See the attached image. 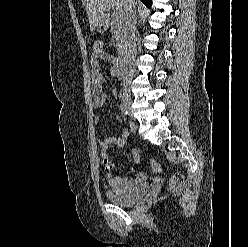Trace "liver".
<instances>
[{
  "label": "liver",
  "mask_w": 248,
  "mask_h": 247,
  "mask_svg": "<svg viewBox=\"0 0 248 247\" xmlns=\"http://www.w3.org/2000/svg\"><path fill=\"white\" fill-rule=\"evenodd\" d=\"M85 7L91 30L95 29L96 24L110 8L117 13H124L125 0H82Z\"/></svg>",
  "instance_id": "6515ba94"
}]
</instances>
